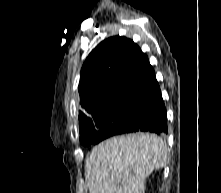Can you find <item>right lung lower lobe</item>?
<instances>
[{"instance_id":"obj_1","label":"right lung lower lobe","mask_w":221,"mask_h":193,"mask_svg":"<svg viewBox=\"0 0 221 193\" xmlns=\"http://www.w3.org/2000/svg\"><path fill=\"white\" fill-rule=\"evenodd\" d=\"M149 105L150 108L143 117L119 134L137 131L153 132L160 136L167 134V114L160 88L157 89L153 97L149 100Z\"/></svg>"}]
</instances>
